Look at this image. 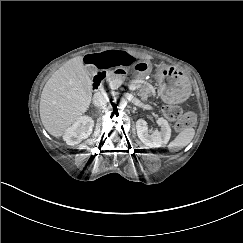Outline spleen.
<instances>
[{"label": "spleen", "mask_w": 243, "mask_h": 243, "mask_svg": "<svg viewBox=\"0 0 243 243\" xmlns=\"http://www.w3.org/2000/svg\"><path fill=\"white\" fill-rule=\"evenodd\" d=\"M195 130L191 127L182 130L176 138L168 145L170 151H176L177 149L187 146L194 138Z\"/></svg>", "instance_id": "3e777b00"}]
</instances>
